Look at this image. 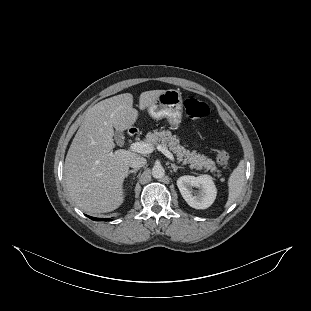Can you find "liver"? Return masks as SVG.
I'll use <instances>...</instances> for the list:
<instances>
[{"label": "liver", "mask_w": 311, "mask_h": 311, "mask_svg": "<svg viewBox=\"0 0 311 311\" xmlns=\"http://www.w3.org/2000/svg\"><path fill=\"white\" fill-rule=\"evenodd\" d=\"M165 90H150L139 96V109L151 106ZM138 119L131 93L119 94L91 107L68 150L64 181L71 199L89 213L117 209L124 200L123 182L135 152H113L114 129L123 132Z\"/></svg>", "instance_id": "6515ba94"}]
</instances>
